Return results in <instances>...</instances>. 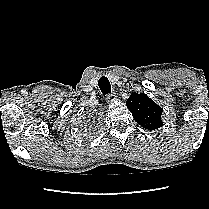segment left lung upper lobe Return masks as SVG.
Returning a JSON list of instances; mask_svg holds the SVG:
<instances>
[{
    "instance_id": "5c2ea615",
    "label": "left lung upper lobe",
    "mask_w": 209,
    "mask_h": 209,
    "mask_svg": "<svg viewBox=\"0 0 209 209\" xmlns=\"http://www.w3.org/2000/svg\"><path fill=\"white\" fill-rule=\"evenodd\" d=\"M126 106L135 121L145 129L156 130L163 125L162 108L144 93H132L126 101Z\"/></svg>"
}]
</instances>
